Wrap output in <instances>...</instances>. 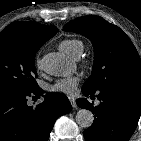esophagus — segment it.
I'll list each match as a JSON object with an SVG mask.
<instances>
[{
  "mask_svg": "<svg viewBox=\"0 0 141 141\" xmlns=\"http://www.w3.org/2000/svg\"><path fill=\"white\" fill-rule=\"evenodd\" d=\"M69 101H70L72 107H73V108H76L77 105H76L75 98H73V97H69Z\"/></svg>",
  "mask_w": 141,
  "mask_h": 141,
  "instance_id": "esophagus-1",
  "label": "esophagus"
}]
</instances>
